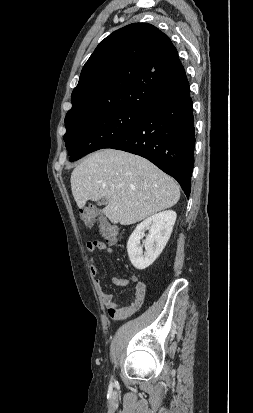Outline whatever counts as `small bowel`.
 Here are the masks:
<instances>
[{"label":"small bowel","instance_id":"obj_1","mask_svg":"<svg viewBox=\"0 0 253 413\" xmlns=\"http://www.w3.org/2000/svg\"><path fill=\"white\" fill-rule=\"evenodd\" d=\"M89 252L103 251L108 254L112 253V249L102 241H91L87 244ZM89 267L91 273L96 276L98 274V262L95 257H90ZM135 282L134 293L131 301L128 304H119L115 301L114 295L109 292H105L101 288V281L97 280L98 287L100 289V300L102 304L108 309L109 316L114 320H123L134 313H136L142 306L147 286L144 282L138 281L135 277L132 279ZM112 283L116 286L127 287L130 285V280L121 277H113Z\"/></svg>","mask_w":253,"mask_h":413}]
</instances>
